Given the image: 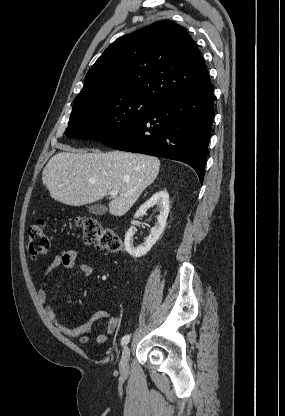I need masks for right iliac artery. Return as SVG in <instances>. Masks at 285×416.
<instances>
[{
  "label": "right iliac artery",
  "mask_w": 285,
  "mask_h": 416,
  "mask_svg": "<svg viewBox=\"0 0 285 416\" xmlns=\"http://www.w3.org/2000/svg\"><path fill=\"white\" fill-rule=\"evenodd\" d=\"M129 340H130V335H129V334H127V335L123 336V338H122V340H121V344H122L123 346H125V345L129 342Z\"/></svg>",
  "instance_id": "right-iliac-artery-1"
}]
</instances>
